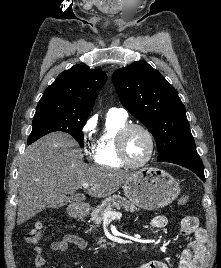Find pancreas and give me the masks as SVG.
Here are the masks:
<instances>
[{
	"instance_id": "cf45deb5",
	"label": "pancreas",
	"mask_w": 221,
	"mask_h": 268,
	"mask_svg": "<svg viewBox=\"0 0 221 268\" xmlns=\"http://www.w3.org/2000/svg\"><path fill=\"white\" fill-rule=\"evenodd\" d=\"M113 208L125 209L126 211L135 212L139 210L133 203H130L126 198L119 195H113L102 201L91 213V221H93L97 227L101 224L104 219V214L106 211H111ZM105 240L103 238L99 239L98 244L101 247H106Z\"/></svg>"
}]
</instances>
